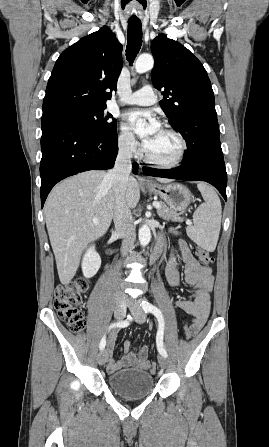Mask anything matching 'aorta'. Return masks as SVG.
<instances>
[{"mask_svg":"<svg viewBox=\"0 0 269 447\" xmlns=\"http://www.w3.org/2000/svg\"><path fill=\"white\" fill-rule=\"evenodd\" d=\"M154 66V60L153 56H150V54H142V56H139L138 60L135 62V70L137 74H145V72H149V70H152ZM143 120H137L136 126H139V124H142ZM151 239V231L150 227L148 225L144 224L139 229V241L141 245H148L149 241Z\"/></svg>","mask_w":269,"mask_h":447,"instance_id":"aorta-1","label":"aorta"}]
</instances>
